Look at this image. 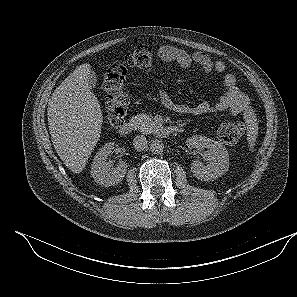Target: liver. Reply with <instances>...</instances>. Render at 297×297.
Listing matches in <instances>:
<instances>
[{"instance_id": "6515ba94", "label": "liver", "mask_w": 297, "mask_h": 297, "mask_svg": "<svg viewBox=\"0 0 297 297\" xmlns=\"http://www.w3.org/2000/svg\"><path fill=\"white\" fill-rule=\"evenodd\" d=\"M89 64L78 66L53 92L48 102V125L54 148L65 166L80 173L101 133L100 104L87 82Z\"/></svg>"}]
</instances>
